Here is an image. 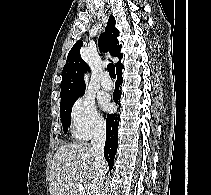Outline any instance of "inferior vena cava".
I'll list each match as a JSON object with an SVG mask.
<instances>
[{
  "mask_svg": "<svg viewBox=\"0 0 211 195\" xmlns=\"http://www.w3.org/2000/svg\"><path fill=\"white\" fill-rule=\"evenodd\" d=\"M105 140H106L105 125L99 124L94 129L93 138L91 140L92 149L95 154L96 174L91 185L90 195H102L101 190L106 173V163L104 159Z\"/></svg>",
  "mask_w": 211,
  "mask_h": 195,
  "instance_id": "inferior-vena-cava-1",
  "label": "inferior vena cava"
}]
</instances>
